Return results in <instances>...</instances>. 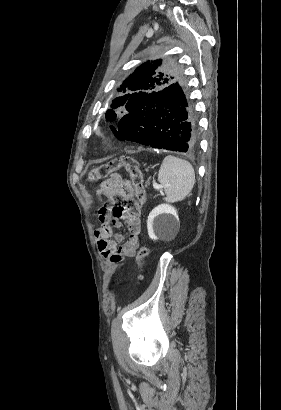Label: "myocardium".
Masks as SVG:
<instances>
[{"label":"myocardium","instance_id":"obj_1","mask_svg":"<svg viewBox=\"0 0 281 410\" xmlns=\"http://www.w3.org/2000/svg\"><path fill=\"white\" fill-rule=\"evenodd\" d=\"M101 143L104 148L113 149L117 146L118 141L114 136L110 135L103 137Z\"/></svg>","mask_w":281,"mask_h":410}]
</instances>
